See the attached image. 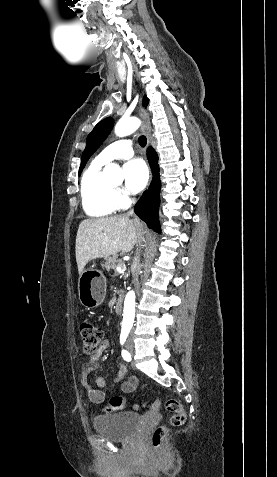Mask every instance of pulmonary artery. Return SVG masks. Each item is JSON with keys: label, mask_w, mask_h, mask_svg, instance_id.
<instances>
[{"label": "pulmonary artery", "mask_w": 277, "mask_h": 477, "mask_svg": "<svg viewBox=\"0 0 277 477\" xmlns=\"http://www.w3.org/2000/svg\"><path fill=\"white\" fill-rule=\"evenodd\" d=\"M133 156L132 143L128 139H121L113 142L104 148L99 155L96 157L99 161L103 163L110 162L118 158H130Z\"/></svg>", "instance_id": "pulmonary-artery-1"}]
</instances>
